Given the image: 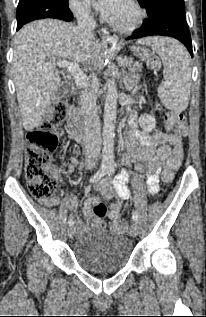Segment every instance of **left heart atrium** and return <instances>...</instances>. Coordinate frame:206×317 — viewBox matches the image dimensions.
<instances>
[{"mask_svg": "<svg viewBox=\"0 0 206 317\" xmlns=\"http://www.w3.org/2000/svg\"><path fill=\"white\" fill-rule=\"evenodd\" d=\"M121 0H89L101 14L110 19Z\"/></svg>", "mask_w": 206, "mask_h": 317, "instance_id": "obj_1", "label": "left heart atrium"}]
</instances>
